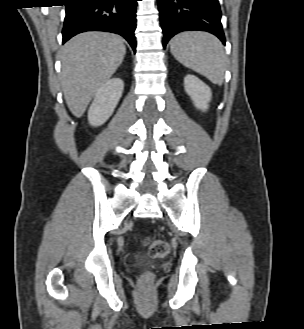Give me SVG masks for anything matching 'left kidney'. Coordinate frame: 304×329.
Returning a JSON list of instances; mask_svg holds the SVG:
<instances>
[{
	"label": "left kidney",
	"mask_w": 304,
	"mask_h": 329,
	"mask_svg": "<svg viewBox=\"0 0 304 329\" xmlns=\"http://www.w3.org/2000/svg\"><path fill=\"white\" fill-rule=\"evenodd\" d=\"M184 87L195 107L202 111H206L212 97L211 89L208 85L194 75H187L184 78Z\"/></svg>",
	"instance_id": "5707ae66"
}]
</instances>
